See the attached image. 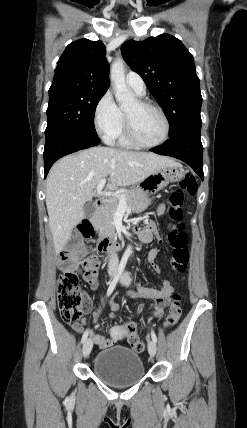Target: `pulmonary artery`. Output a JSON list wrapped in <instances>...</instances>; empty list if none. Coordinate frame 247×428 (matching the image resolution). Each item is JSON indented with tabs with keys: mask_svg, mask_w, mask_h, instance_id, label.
Instances as JSON below:
<instances>
[{
	"mask_svg": "<svg viewBox=\"0 0 247 428\" xmlns=\"http://www.w3.org/2000/svg\"><path fill=\"white\" fill-rule=\"evenodd\" d=\"M126 84L137 95H143L145 93V89H146L145 83L142 77L135 72H129L127 74Z\"/></svg>",
	"mask_w": 247,
	"mask_h": 428,
	"instance_id": "pulmonary-artery-1",
	"label": "pulmonary artery"
}]
</instances>
